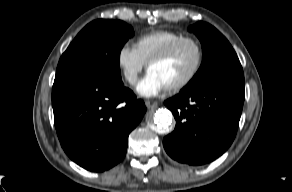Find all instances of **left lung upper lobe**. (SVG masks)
Here are the masks:
<instances>
[{"label":"left lung upper lobe","instance_id":"obj_1","mask_svg":"<svg viewBox=\"0 0 292 192\" xmlns=\"http://www.w3.org/2000/svg\"><path fill=\"white\" fill-rule=\"evenodd\" d=\"M188 30L195 33L201 42L203 62L194 77L181 91L210 83L244 82L242 66L235 51L217 29L200 21L190 26Z\"/></svg>","mask_w":292,"mask_h":192}]
</instances>
